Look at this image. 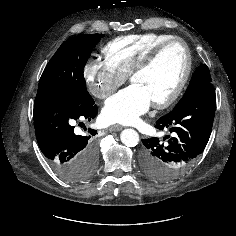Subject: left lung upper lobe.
Instances as JSON below:
<instances>
[{
	"label": "left lung upper lobe",
	"mask_w": 236,
	"mask_h": 236,
	"mask_svg": "<svg viewBox=\"0 0 236 236\" xmlns=\"http://www.w3.org/2000/svg\"><path fill=\"white\" fill-rule=\"evenodd\" d=\"M211 85V76L206 64H201L200 67L194 72L191 82L183 98L175 106V109L179 108L184 102H186L191 96L202 88Z\"/></svg>",
	"instance_id": "1"
}]
</instances>
